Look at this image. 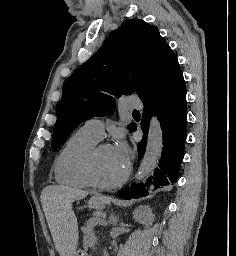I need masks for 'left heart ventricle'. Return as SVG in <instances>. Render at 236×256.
<instances>
[{
  "label": "left heart ventricle",
  "mask_w": 236,
  "mask_h": 256,
  "mask_svg": "<svg viewBox=\"0 0 236 256\" xmlns=\"http://www.w3.org/2000/svg\"><path fill=\"white\" fill-rule=\"evenodd\" d=\"M96 166L101 180L104 182H112L122 175L126 163L120 162L114 156L110 147H106L99 151L96 157Z\"/></svg>",
  "instance_id": "1"
}]
</instances>
